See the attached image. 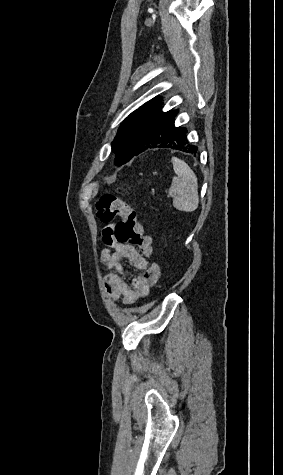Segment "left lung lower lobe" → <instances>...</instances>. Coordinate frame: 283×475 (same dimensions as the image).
Segmentation results:
<instances>
[{"label":"left lung lower lobe","mask_w":283,"mask_h":475,"mask_svg":"<svg viewBox=\"0 0 283 475\" xmlns=\"http://www.w3.org/2000/svg\"><path fill=\"white\" fill-rule=\"evenodd\" d=\"M160 102L149 114L138 135H122L113 147L116 155V165L120 166L130 161L146 150L152 148H171L197 154L198 147L190 144L187 139V129L176 127L174 119L178 111L163 112Z\"/></svg>","instance_id":"obj_1"}]
</instances>
